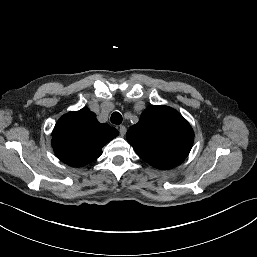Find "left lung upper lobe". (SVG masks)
<instances>
[{
	"label": "left lung upper lobe",
	"mask_w": 257,
	"mask_h": 257,
	"mask_svg": "<svg viewBox=\"0 0 257 257\" xmlns=\"http://www.w3.org/2000/svg\"><path fill=\"white\" fill-rule=\"evenodd\" d=\"M141 159L158 169H171L189 154L194 133L183 116L168 106H150L126 133Z\"/></svg>",
	"instance_id": "1"
}]
</instances>
